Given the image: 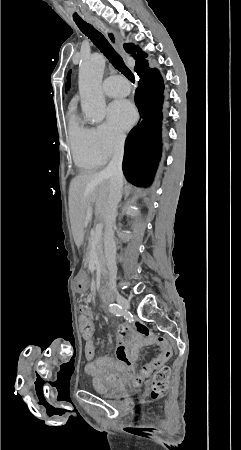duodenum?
Segmentation results:
<instances>
[{"mask_svg": "<svg viewBox=\"0 0 241 450\" xmlns=\"http://www.w3.org/2000/svg\"><path fill=\"white\" fill-rule=\"evenodd\" d=\"M99 292H100V294H101V296L103 297V298H109L110 297V290L108 289V287L107 286H105V285H100L99 286Z\"/></svg>", "mask_w": 241, "mask_h": 450, "instance_id": "obj_1", "label": "duodenum"}]
</instances>
